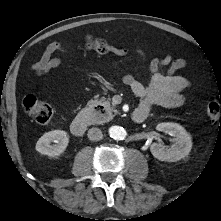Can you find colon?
<instances>
[{"label": "colon", "mask_w": 221, "mask_h": 221, "mask_svg": "<svg viewBox=\"0 0 221 221\" xmlns=\"http://www.w3.org/2000/svg\"><path fill=\"white\" fill-rule=\"evenodd\" d=\"M85 47L100 53L110 50L111 46L106 39L89 36L86 38ZM221 99L211 97L207 104V115L211 122L221 123ZM23 108L28 116L38 124H46L52 116L51 106L35 95L28 94L23 99Z\"/></svg>", "instance_id": "5ec220e1"}]
</instances>
